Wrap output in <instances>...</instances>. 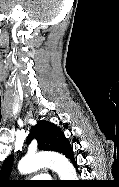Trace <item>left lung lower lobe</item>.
<instances>
[{"mask_svg":"<svg viewBox=\"0 0 119 187\" xmlns=\"http://www.w3.org/2000/svg\"><path fill=\"white\" fill-rule=\"evenodd\" d=\"M66 157L73 163V165L75 166V168L77 169V162L75 161L74 158V154H73V148L71 147V149L69 150L68 154L66 155Z\"/></svg>","mask_w":119,"mask_h":187,"instance_id":"obj_1","label":"left lung lower lobe"}]
</instances>
